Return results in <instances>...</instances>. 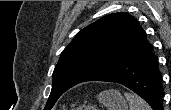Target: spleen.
Listing matches in <instances>:
<instances>
[{
    "label": "spleen",
    "mask_w": 171,
    "mask_h": 110,
    "mask_svg": "<svg viewBox=\"0 0 171 110\" xmlns=\"http://www.w3.org/2000/svg\"><path fill=\"white\" fill-rule=\"evenodd\" d=\"M124 96L129 102V110H152L149 104L138 95L131 92H125Z\"/></svg>",
    "instance_id": "1"
}]
</instances>
